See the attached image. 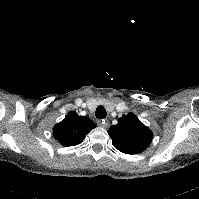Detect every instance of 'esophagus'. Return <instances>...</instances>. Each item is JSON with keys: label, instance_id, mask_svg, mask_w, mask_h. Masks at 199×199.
<instances>
[{"label": "esophagus", "instance_id": "obj_1", "mask_svg": "<svg viewBox=\"0 0 199 199\" xmlns=\"http://www.w3.org/2000/svg\"><path fill=\"white\" fill-rule=\"evenodd\" d=\"M98 124L103 127V128H108L109 127V121L108 120H105V119H102V120H99L98 121Z\"/></svg>", "mask_w": 199, "mask_h": 199}]
</instances>
